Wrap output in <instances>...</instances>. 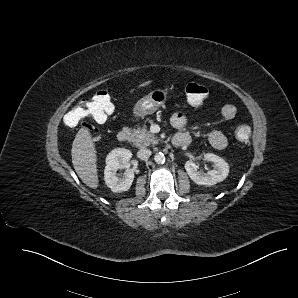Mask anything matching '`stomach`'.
<instances>
[{"instance_id":"1","label":"stomach","mask_w":298,"mask_h":298,"mask_svg":"<svg viewBox=\"0 0 298 298\" xmlns=\"http://www.w3.org/2000/svg\"><path fill=\"white\" fill-rule=\"evenodd\" d=\"M165 101V93L161 90L151 92L139 100L135 106V113L138 116L151 114L157 110Z\"/></svg>"}]
</instances>
